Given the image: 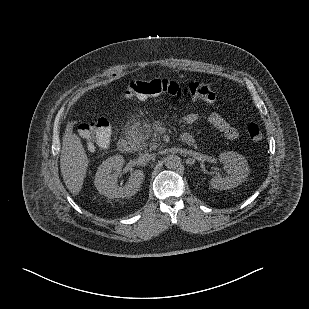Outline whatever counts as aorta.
<instances>
[{
    "label": "aorta",
    "mask_w": 309,
    "mask_h": 309,
    "mask_svg": "<svg viewBox=\"0 0 309 309\" xmlns=\"http://www.w3.org/2000/svg\"><path fill=\"white\" fill-rule=\"evenodd\" d=\"M165 166L168 169H177L179 167V165L181 164V160L180 157L178 155H174V154H170L168 155L165 160Z\"/></svg>",
    "instance_id": "aorta-1"
}]
</instances>
